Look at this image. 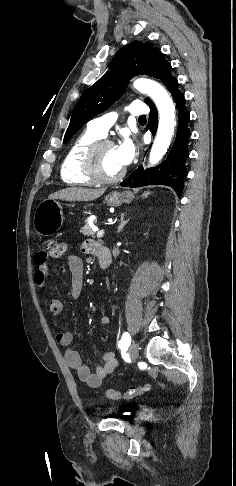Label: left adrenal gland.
<instances>
[{"label":"left adrenal gland","mask_w":236,"mask_h":486,"mask_svg":"<svg viewBox=\"0 0 236 486\" xmlns=\"http://www.w3.org/2000/svg\"><path fill=\"white\" fill-rule=\"evenodd\" d=\"M129 220H124V213L121 214V218H120V224L118 226V230L117 232L120 233L122 231V229L124 228V226L127 224Z\"/></svg>","instance_id":"obj_1"}]
</instances>
